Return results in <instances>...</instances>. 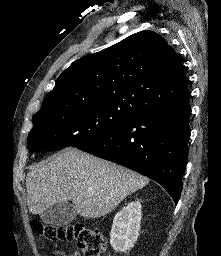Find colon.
Returning a JSON list of instances; mask_svg holds the SVG:
<instances>
[{"label":"colon","instance_id":"1","mask_svg":"<svg viewBox=\"0 0 221 256\" xmlns=\"http://www.w3.org/2000/svg\"><path fill=\"white\" fill-rule=\"evenodd\" d=\"M35 230L51 241L68 242L75 240L83 256H105L107 246L102 233L85 224L44 225L33 223Z\"/></svg>","mask_w":221,"mask_h":256}]
</instances>
